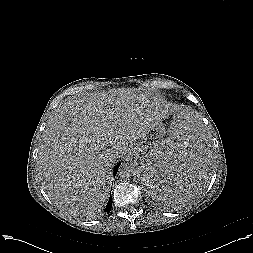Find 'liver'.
Segmentation results:
<instances>
[{
  "instance_id": "1",
  "label": "liver",
  "mask_w": 253,
  "mask_h": 253,
  "mask_svg": "<svg viewBox=\"0 0 253 253\" xmlns=\"http://www.w3.org/2000/svg\"><path fill=\"white\" fill-rule=\"evenodd\" d=\"M170 112L163 99L135 88L62 102L47 123L37 160L50 200L74 216L95 217L107 203L114 163Z\"/></svg>"
}]
</instances>
